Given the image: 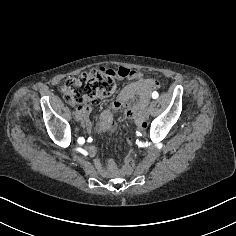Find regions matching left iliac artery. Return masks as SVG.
<instances>
[{
    "mask_svg": "<svg viewBox=\"0 0 236 236\" xmlns=\"http://www.w3.org/2000/svg\"><path fill=\"white\" fill-rule=\"evenodd\" d=\"M158 93L156 92V91H154L153 93H152V98L153 99H156V98H158Z\"/></svg>",
    "mask_w": 236,
    "mask_h": 236,
    "instance_id": "44dca946",
    "label": "left iliac artery"
}]
</instances>
